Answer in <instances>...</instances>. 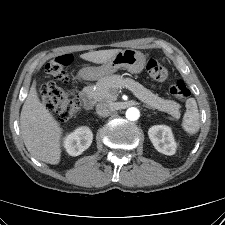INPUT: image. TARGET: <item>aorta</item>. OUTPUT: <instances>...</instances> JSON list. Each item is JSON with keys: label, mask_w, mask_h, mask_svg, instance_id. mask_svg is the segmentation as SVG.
I'll return each mask as SVG.
<instances>
[{"label": "aorta", "mask_w": 225, "mask_h": 225, "mask_svg": "<svg viewBox=\"0 0 225 225\" xmlns=\"http://www.w3.org/2000/svg\"><path fill=\"white\" fill-rule=\"evenodd\" d=\"M126 118L130 121H135L140 117V112L135 107H130L126 111Z\"/></svg>", "instance_id": "1"}]
</instances>
